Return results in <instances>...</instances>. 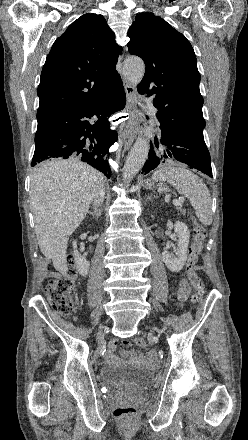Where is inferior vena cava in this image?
Wrapping results in <instances>:
<instances>
[{"label":"inferior vena cava","instance_id":"obj_1","mask_svg":"<svg viewBox=\"0 0 248 440\" xmlns=\"http://www.w3.org/2000/svg\"><path fill=\"white\" fill-rule=\"evenodd\" d=\"M103 199H104V191H103V188L101 187L98 190V192L94 195L93 205H94L95 209H97V207L101 206Z\"/></svg>","mask_w":248,"mask_h":440}]
</instances>
